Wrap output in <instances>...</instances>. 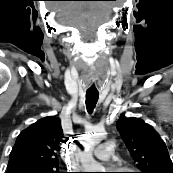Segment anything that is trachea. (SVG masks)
<instances>
[{"label": "trachea", "instance_id": "obj_1", "mask_svg": "<svg viewBox=\"0 0 173 173\" xmlns=\"http://www.w3.org/2000/svg\"><path fill=\"white\" fill-rule=\"evenodd\" d=\"M99 94L86 93V108L89 114H91L97 104Z\"/></svg>", "mask_w": 173, "mask_h": 173}]
</instances>
